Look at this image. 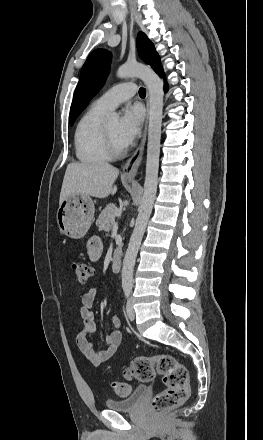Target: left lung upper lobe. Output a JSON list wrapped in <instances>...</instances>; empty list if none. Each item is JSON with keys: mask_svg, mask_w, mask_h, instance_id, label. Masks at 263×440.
I'll return each instance as SVG.
<instances>
[{"mask_svg": "<svg viewBox=\"0 0 263 440\" xmlns=\"http://www.w3.org/2000/svg\"><path fill=\"white\" fill-rule=\"evenodd\" d=\"M137 48L140 58L155 70L161 66L160 57L153 43L144 33L137 37ZM111 54L107 50H94L87 58L80 73V79L74 92L70 109V125H73L78 115L83 111L90 99L104 85L105 76L108 74Z\"/></svg>", "mask_w": 263, "mask_h": 440, "instance_id": "1", "label": "left lung upper lobe"}]
</instances>
